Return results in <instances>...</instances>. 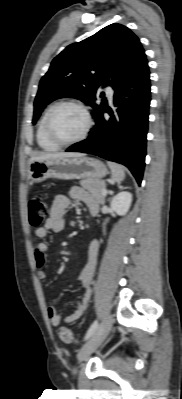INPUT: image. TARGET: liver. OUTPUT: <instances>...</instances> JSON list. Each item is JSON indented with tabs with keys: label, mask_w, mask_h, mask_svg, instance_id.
<instances>
[{
	"label": "liver",
	"mask_w": 182,
	"mask_h": 399,
	"mask_svg": "<svg viewBox=\"0 0 182 399\" xmlns=\"http://www.w3.org/2000/svg\"><path fill=\"white\" fill-rule=\"evenodd\" d=\"M83 155L81 153H44L39 156H33L30 159V163L37 160H45L49 158H79Z\"/></svg>",
	"instance_id": "6515ba94"
}]
</instances>
